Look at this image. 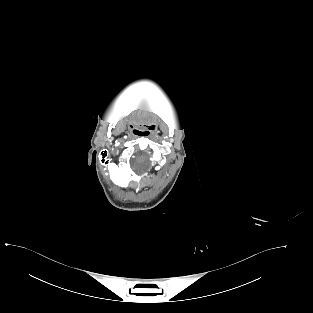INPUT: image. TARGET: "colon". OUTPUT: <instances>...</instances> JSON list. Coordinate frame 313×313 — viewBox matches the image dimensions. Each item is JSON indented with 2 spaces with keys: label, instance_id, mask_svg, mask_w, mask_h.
Listing matches in <instances>:
<instances>
[{
  "label": "colon",
  "instance_id": "obj_1",
  "mask_svg": "<svg viewBox=\"0 0 313 313\" xmlns=\"http://www.w3.org/2000/svg\"><path fill=\"white\" fill-rule=\"evenodd\" d=\"M232 238H234L235 237V232L234 231H232V233H231V235H230Z\"/></svg>",
  "mask_w": 313,
  "mask_h": 313
}]
</instances>
